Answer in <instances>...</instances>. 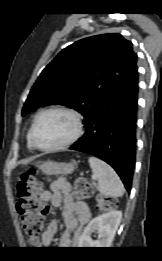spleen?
I'll list each match as a JSON object with an SVG mask.
<instances>
[{
	"mask_svg": "<svg viewBox=\"0 0 162 261\" xmlns=\"http://www.w3.org/2000/svg\"><path fill=\"white\" fill-rule=\"evenodd\" d=\"M88 162L93 172L94 179L98 180V191L104 196L121 197L124 186L114 169L106 162L94 156Z\"/></svg>",
	"mask_w": 162,
	"mask_h": 261,
	"instance_id": "3e777b00",
	"label": "spleen"
}]
</instances>
